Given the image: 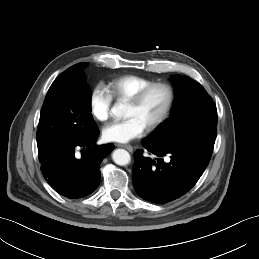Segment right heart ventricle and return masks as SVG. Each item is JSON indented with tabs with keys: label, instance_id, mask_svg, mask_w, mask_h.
<instances>
[{
	"label": "right heart ventricle",
	"instance_id": "e07e8e85",
	"mask_svg": "<svg viewBox=\"0 0 259 259\" xmlns=\"http://www.w3.org/2000/svg\"><path fill=\"white\" fill-rule=\"evenodd\" d=\"M153 83L151 79L138 75H124L111 80L108 90L117 101H127L138 91Z\"/></svg>",
	"mask_w": 259,
	"mask_h": 259
}]
</instances>
